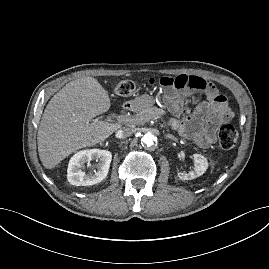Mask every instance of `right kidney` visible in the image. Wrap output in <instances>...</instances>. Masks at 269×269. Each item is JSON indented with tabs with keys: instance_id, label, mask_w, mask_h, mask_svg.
<instances>
[{
	"instance_id": "obj_1",
	"label": "right kidney",
	"mask_w": 269,
	"mask_h": 269,
	"mask_svg": "<svg viewBox=\"0 0 269 269\" xmlns=\"http://www.w3.org/2000/svg\"><path fill=\"white\" fill-rule=\"evenodd\" d=\"M91 160L98 162L95 165L94 172L85 173V164ZM112 154L107 150L90 149L77 152L70 159L67 169V179L72 185L89 186L101 182L106 178Z\"/></svg>"
}]
</instances>
